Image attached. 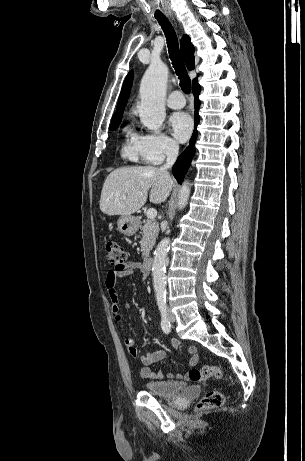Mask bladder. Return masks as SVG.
Segmentation results:
<instances>
[{"label":"bladder","mask_w":305,"mask_h":461,"mask_svg":"<svg viewBox=\"0 0 305 461\" xmlns=\"http://www.w3.org/2000/svg\"><path fill=\"white\" fill-rule=\"evenodd\" d=\"M144 388L150 394L160 397H174L181 394L187 388L183 381L148 380L144 382Z\"/></svg>","instance_id":"obj_1"}]
</instances>
